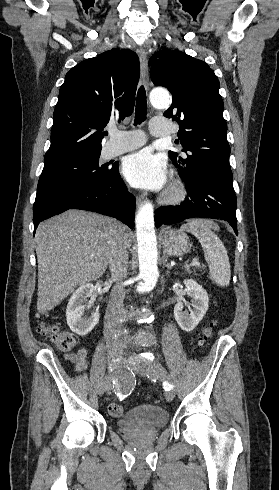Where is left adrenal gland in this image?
I'll list each match as a JSON object with an SVG mask.
<instances>
[{
    "instance_id": "obj_1",
    "label": "left adrenal gland",
    "mask_w": 279,
    "mask_h": 490,
    "mask_svg": "<svg viewBox=\"0 0 279 490\" xmlns=\"http://www.w3.org/2000/svg\"><path fill=\"white\" fill-rule=\"evenodd\" d=\"M167 260H168V256H162V262H163V266H167V268H172V266H170V264H167Z\"/></svg>"
}]
</instances>
